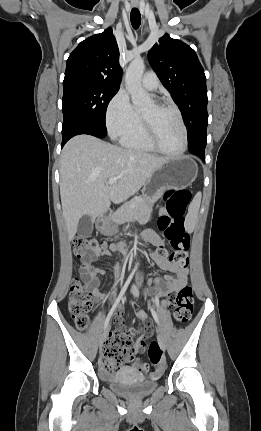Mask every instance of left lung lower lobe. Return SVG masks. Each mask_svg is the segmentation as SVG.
Here are the masks:
<instances>
[{
	"label": "left lung lower lobe",
	"instance_id": "obj_1",
	"mask_svg": "<svg viewBox=\"0 0 261 431\" xmlns=\"http://www.w3.org/2000/svg\"><path fill=\"white\" fill-rule=\"evenodd\" d=\"M189 152L199 156L203 161L205 160V155H204L205 148L195 147V148L189 149Z\"/></svg>",
	"mask_w": 261,
	"mask_h": 431
}]
</instances>
